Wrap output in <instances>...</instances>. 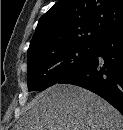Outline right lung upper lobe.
Here are the masks:
<instances>
[{
  "label": "right lung upper lobe",
  "instance_id": "obj_1",
  "mask_svg": "<svg viewBox=\"0 0 123 130\" xmlns=\"http://www.w3.org/2000/svg\"><path fill=\"white\" fill-rule=\"evenodd\" d=\"M123 26V0H59L38 22L28 61L79 45H95Z\"/></svg>",
  "mask_w": 123,
  "mask_h": 130
}]
</instances>
